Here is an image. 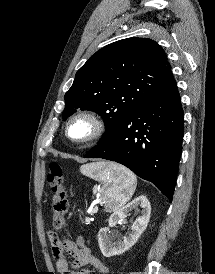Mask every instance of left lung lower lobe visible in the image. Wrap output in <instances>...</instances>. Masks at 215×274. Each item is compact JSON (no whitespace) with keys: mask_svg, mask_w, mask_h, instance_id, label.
I'll use <instances>...</instances> for the list:
<instances>
[{"mask_svg":"<svg viewBox=\"0 0 215 274\" xmlns=\"http://www.w3.org/2000/svg\"><path fill=\"white\" fill-rule=\"evenodd\" d=\"M184 114L175 79L136 107L84 158L118 162L172 201L182 151Z\"/></svg>","mask_w":215,"mask_h":274,"instance_id":"1","label":"left lung lower lobe"}]
</instances>
